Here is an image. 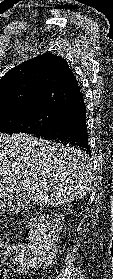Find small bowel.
Returning a JSON list of instances; mask_svg holds the SVG:
<instances>
[{
	"label": "small bowel",
	"instance_id": "c3829d8e",
	"mask_svg": "<svg viewBox=\"0 0 113 279\" xmlns=\"http://www.w3.org/2000/svg\"><path fill=\"white\" fill-rule=\"evenodd\" d=\"M0 279H5V274H4V272L1 273Z\"/></svg>",
	"mask_w": 113,
	"mask_h": 279
}]
</instances>
